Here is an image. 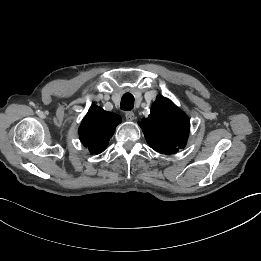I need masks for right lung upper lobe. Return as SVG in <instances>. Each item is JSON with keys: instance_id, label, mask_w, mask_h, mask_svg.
<instances>
[{"instance_id": "cb5924a9", "label": "right lung upper lobe", "mask_w": 261, "mask_h": 261, "mask_svg": "<svg viewBox=\"0 0 261 261\" xmlns=\"http://www.w3.org/2000/svg\"><path fill=\"white\" fill-rule=\"evenodd\" d=\"M121 122L119 115L92 106L79 128L81 142L91 153L99 154L108 145L116 126Z\"/></svg>"}]
</instances>
